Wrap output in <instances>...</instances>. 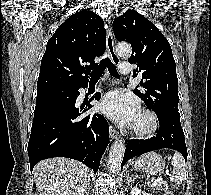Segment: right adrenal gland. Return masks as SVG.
I'll return each mask as SVG.
<instances>
[{"label":"right adrenal gland","mask_w":211,"mask_h":195,"mask_svg":"<svg viewBox=\"0 0 211 195\" xmlns=\"http://www.w3.org/2000/svg\"><path fill=\"white\" fill-rule=\"evenodd\" d=\"M89 190H90V183H89L87 189L85 190V193H86L87 191H89Z\"/></svg>","instance_id":"obj_1"}]
</instances>
